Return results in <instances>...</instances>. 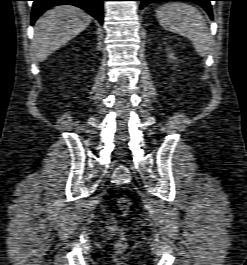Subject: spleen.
<instances>
[{
    "label": "spleen",
    "instance_id": "obj_1",
    "mask_svg": "<svg viewBox=\"0 0 247 265\" xmlns=\"http://www.w3.org/2000/svg\"><path fill=\"white\" fill-rule=\"evenodd\" d=\"M160 25L190 39L197 53L205 57L212 36L202 14L193 6L181 2L167 3L156 11Z\"/></svg>",
    "mask_w": 247,
    "mask_h": 265
}]
</instances>
